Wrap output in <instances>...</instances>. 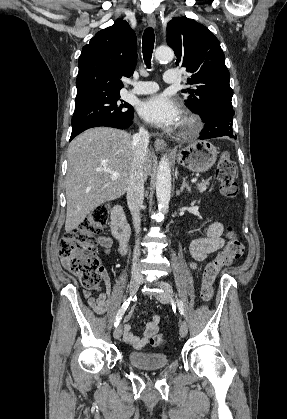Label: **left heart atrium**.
I'll list each match as a JSON object with an SVG mask.
<instances>
[{"instance_id":"obj_1","label":"left heart atrium","mask_w":287,"mask_h":419,"mask_svg":"<svg viewBox=\"0 0 287 419\" xmlns=\"http://www.w3.org/2000/svg\"><path fill=\"white\" fill-rule=\"evenodd\" d=\"M140 115L158 126H171L178 122L180 110L175 101L164 93L155 94L141 102Z\"/></svg>"}]
</instances>
